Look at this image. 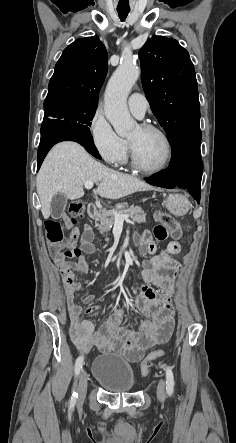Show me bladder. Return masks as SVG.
Wrapping results in <instances>:
<instances>
[{
	"label": "bladder",
	"mask_w": 236,
	"mask_h": 443,
	"mask_svg": "<svg viewBox=\"0 0 236 443\" xmlns=\"http://www.w3.org/2000/svg\"><path fill=\"white\" fill-rule=\"evenodd\" d=\"M93 375L111 393H129L136 384L133 369L118 356L100 355L94 362Z\"/></svg>",
	"instance_id": "obj_1"
}]
</instances>
